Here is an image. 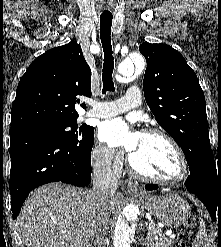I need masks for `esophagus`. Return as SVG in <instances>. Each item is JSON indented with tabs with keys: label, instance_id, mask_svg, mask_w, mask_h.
<instances>
[{
	"label": "esophagus",
	"instance_id": "34e87169",
	"mask_svg": "<svg viewBox=\"0 0 221 247\" xmlns=\"http://www.w3.org/2000/svg\"><path fill=\"white\" fill-rule=\"evenodd\" d=\"M127 191L129 193H139V192H141L140 188L137 185H129L127 187Z\"/></svg>",
	"mask_w": 221,
	"mask_h": 247
}]
</instances>
